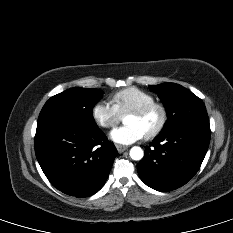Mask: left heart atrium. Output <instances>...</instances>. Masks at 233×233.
Segmentation results:
<instances>
[{
  "instance_id": "left-heart-atrium-1",
  "label": "left heart atrium",
  "mask_w": 233,
  "mask_h": 233,
  "mask_svg": "<svg viewBox=\"0 0 233 233\" xmlns=\"http://www.w3.org/2000/svg\"><path fill=\"white\" fill-rule=\"evenodd\" d=\"M145 137L144 131L134 124H126L115 128L110 133V138L119 144L128 145Z\"/></svg>"
}]
</instances>
